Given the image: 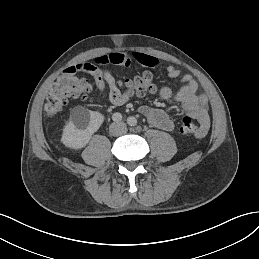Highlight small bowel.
Instances as JSON below:
<instances>
[{"label": "small bowel", "mask_w": 259, "mask_h": 259, "mask_svg": "<svg viewBox=\"0 0 259 259\" xmlns=\"http://www.w3.org/2000/svg\"><path fill=\"white\" fill-rule=\"evenodd\" d=\"M97 64H114L120 66H130L132 64H140L145 67H155L158 65V59L154 56L143 54L139 52L124 53L115 52L108 55L101 56L96 59ZM168 76L171 79L180 77V71L174 66L170 65L166 69ZM67 73L84 72L89 74L95 81L98 90L103 93L106 87L109 86V97L114 105L120 106L125 104L130 98L131 94L122 93L118 95L117 82L114 73L106 68H100L94 63H79L70 66L66 69ZM182 87L174 92L169 87H162L159 90V95L164 100H171L180 104L185 110L186 114L192 119L199 122V131L197 137H203L209 130L210 118L208 114V97L205 93L198 91V84L192 76L186 74L181 77ZM148 122L164 131H173L175 123L170 119L168 114L160 108L143 105L139 108Z\"/></svg>", "instance_id": "c3829d8e"}]
</instances>
